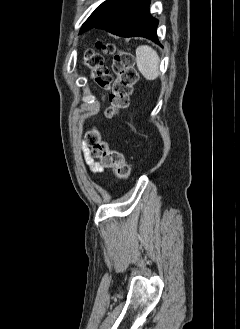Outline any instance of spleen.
I'll use <instances>...</instances> for the list:
<instances>
[{"mask_svg": "<svg viewBox=\"0 0 240 329\" xmlns=\"http://www.w3.org/2000/svg\"><path fill=\"white\" fill-rule=\"evenodd\" d=\"M159 56L157 52L147 45L136 49V62L138 70L147 80H154L159 75Z\"/></svg>", "mask_w": 240, "mask_h": 329, "instance_id": "1", "label": "spleen"}]
</instances>
